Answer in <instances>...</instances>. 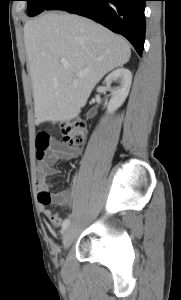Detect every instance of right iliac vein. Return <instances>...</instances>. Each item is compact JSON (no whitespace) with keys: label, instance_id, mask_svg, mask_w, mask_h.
<instances>
[{"label":"right iliac vein","instance_id":"63e3f726","mask_svg":"<svg viewBox=\"0 0 181 300\" xmlns=\"http://www.w3.org/2000/svg\"><path fill=\"white\" fill-rule=\"evenodd\" d=\"M74 240V231L72 226H68L63 235V247L65 249L69 248Z\"/></svg>","mask_w":181,"mask_h":300}]
</instances>
